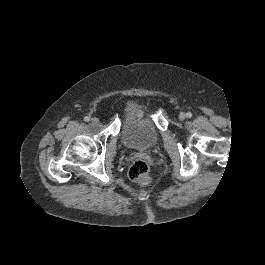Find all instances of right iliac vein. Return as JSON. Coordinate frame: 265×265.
<instances>
[{
  "label": "right iliac vein",
  "instance_id": "63e3f726",
  "mask_svg": "<svg viewBox=\"0 0 265 265\" xmlns=\"http://www.w3.org/2000/svg\"><path fill=\"white\" fill-rule=\"evenodd\" d=\"M98 121H99V120H98V118H96V117H94V118L91 119V122H92V123H97Z\"/></svg>",
  "mask_w": 265,
  "mask_h": 265
}]
</instances>
